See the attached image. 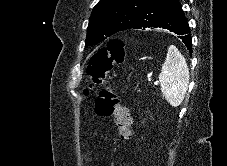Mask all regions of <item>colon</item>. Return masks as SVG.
<instances>
[{"instance_id": "colon-1", "label": "colon", "mask_w": 227, "mask_h": 166, "mask_svg": "<svg viewBox=\"0 0 227 166\" xmlns=\"http://www.w3.org/2000/svg\"><path fill=\"white\" fill-rule=\"evenodd\" d=\"M127 54L121 40L113 39L107 46L97 50L91 57L88 66L90 84L85 89L89 96L94 92L96 85L105 82L108 74L116 64L126 61ZM95 112L98 116L113 117L121 139H127L131 132V116L129 110L119 99L118 93L111 86H106L100 91L96 100Z\"/></svg>"}]
</instances>
